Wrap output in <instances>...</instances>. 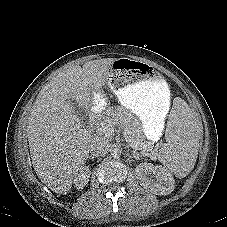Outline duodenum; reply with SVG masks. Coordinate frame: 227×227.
Segmentation results:
<instances>
[{"label": "duodenum", "instance_id": "duodenum-1", "mask_svg": "<svg viewBox=\"0 0 227 227\" xmlns=\"http://www.w3.org/2000/svg\"><path fill=\"white\" fill-rule=\"evenodd\" d=\"M100 116H101V114H99V113L93 114V115L90 117V123H91L92 125L96 124V123L98 122Z\"/></svg>", "mask_w": 227, "mask_h": 227}]
</instances>
